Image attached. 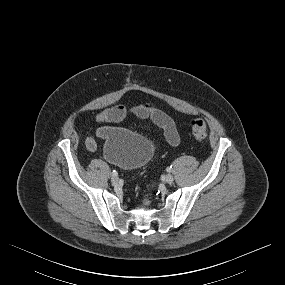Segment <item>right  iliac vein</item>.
Returning <instances> with one entry per match:
<instances>
[{"instance_id": "63e3f726", "label": "right iliac vein", "mask_w": 285, "mask_h": 285, "mask_svg": "<svg viewBox=\"0 0 285 285\" xmlns=\"http://www.w3.org/2000/svg\"><path fill=\"white\" fill-rule=\"evenodd\" d=\"M111 181L113 184H117L119 181V178L117 176H112Z\"/></svg>"}]
</instances>
